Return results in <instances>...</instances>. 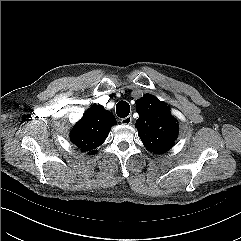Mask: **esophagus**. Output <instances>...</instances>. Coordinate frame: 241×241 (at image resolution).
<instances>
[{"label": "esophagus", "instance_id": "esophagus-1", "mask_svg": "<svg viewBox=\"0 0 241 241\" xmlns=\"http://www.w3.org/2000/svg\"><path fill=\"white\" fill-rule=\"evenodd\" d=\"M120 122H121L122 124H124V125H129V124H131V122H132V116L129 115V116L125 117V118H122V119L120 120Z\"/></svg>", "mask_w": 241, "mask_h": 241}]
</instances>
